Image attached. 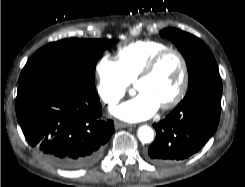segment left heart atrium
<instances>
[{"mask_svg": "<svg viewBox=\"0 0 245 187\" xmlns=\"http://www.w3.org/2000/svg\"><path fill=\"white\" fill-rule=\"evenodd\" d=\"M158 102L146 92L114 108L112 113L125 121L137 122L150 118L158 109Z\"/></svg>", "mask_w": 245, "mask_h": 187, "instance_id": "obj_1", "label": "left heart atrium"}]
</instances>
